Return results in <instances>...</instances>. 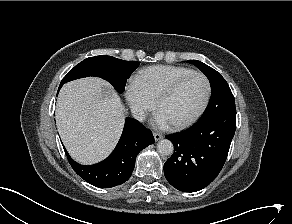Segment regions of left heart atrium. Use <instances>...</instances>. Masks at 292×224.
<instances>
[{"instance_id":"obj_1","label":"left heart atrium","mask_w":292,"mask_h":224,"mask_svg":"<svg viewBox=\"0 0 292 224\" xmlns=\"http://www.w3.org/2000/svg\"><path fill=\"white\" fill-rule=\"evenodd\" d=\"M155 124L157 126H159V127H167V126H169V123L167 122V120L159 112L156 114Z\"/></svg>"}]
</instances>
